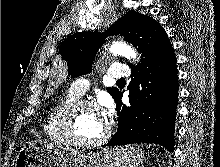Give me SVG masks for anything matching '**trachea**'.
Here are the masks:
<instances>
[{"label":"trachea","mask_w":220,"mask_h":167,"mask_svg":"<svg viewBox=\"0 0 220 167\" xmlns=\"http://www.w3.org/2000/svg\"><path fill=\"white\" fill-rule=\"evenodd\" d=\"M118 82H125V79L121 78V79L118 80Z\"/></svg>","instance_id":"obj_1"}]
</instances>
